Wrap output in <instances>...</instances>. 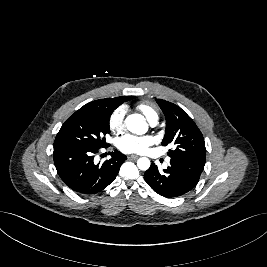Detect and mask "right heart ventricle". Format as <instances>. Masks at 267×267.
Masks as SVG:
<instances>
[{
    "label": "right heart ventricle",
    "instance_id": "e07e8e85",
    "mask_svg": "<svg viewBox=\"0 0 267 267\" xmlns=\"http://www.w3.org/2000/svg\"><path fill=\"white\" fill-rule=\"evenodd\" d=\"M137 109L146 117V119L150 123L157 121L159 118L157 109L149 102H142L138 104Z\"/></svg>",
    "mask_w": 267,
    "mask_h": 267
}]
</instances>
